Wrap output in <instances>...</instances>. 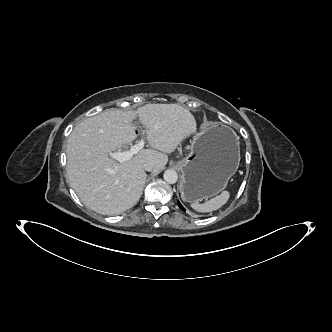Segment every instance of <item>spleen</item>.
I'll use <instances>...</instances> for the list:
<instances>
[{"instance_id": "obj_1", "label": "spleen", "mask_w": 332, "mask_h": 332, "mask_svg": "<svg viewBox=\"0 0 332 332\" xmlns=\"http://www.w3.org/2000/svg\"><path fill=\"white\" fill-rule=\"evenodd\" d=\"M229 192L223 191L220 195H217L216 197L210 199L209 201H206L202 204L200 203H192L191 206L194 210L202 213L212 212L220 207H222L229 199Z\"/></svg>"}]
</instances>
